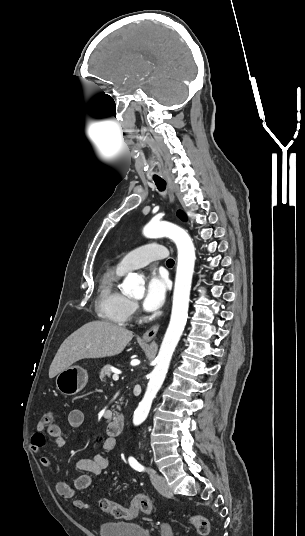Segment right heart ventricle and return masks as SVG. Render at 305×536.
<instances>
[{
	"label": "right heart ventricle",
	"instance_id": "e07e8e85",
	"mask_svg": "<svg viewBox=\"0 0 305 536\" xmlns=\"http://www.w3.org/2000/svg\"><path fill=\"white\" fill-rule=\"evenodd\" d=\"M123 274L117 268L104 272L96 299L101 317L119 326H127L131 319V302L117 288V281Z\"/></svg>",
	"mask_w": 305,
	"mask_h": 536
}]
</instances>
